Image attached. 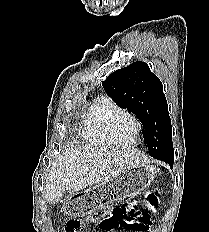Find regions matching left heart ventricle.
Segmentation results:
<instances>
[{
    "mask_svg": "<svg viewBox=\"0 0 209 232\" xmlns=\"http://www.w3.org/2000/svg\"><path fill=\"white\" fill-rule=\"evenodd\" d=\"M135 130V123L129 116L119 117L113 125V132L118 141L129 143Z\"/></svg>",
    "mask_w": 209,
    "mask_h": 232,
    "instance_id": "obj_1",
    "label": "left heart ventricle"
}]
</instances>
